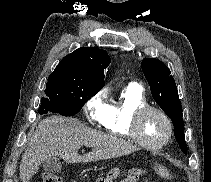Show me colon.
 <instances>
[{
	"mask_svg": "<svg viewBox=\"0 0 211 182\" xmlns=\"http://www.w3.org/2000/svg\"><path fill=\"white\" fill-rule=\"evenodd\" d=\"M155 172L162 178L168 179L170 178L169 171L161 165L154 166ZM119 175V171L117 169L110 170L106 175L98 177L94 182H113L117 176ZM142 175L140 169H132L129 171L127 176L123 179L122 182H134L139 176ZM42 182H62V179L59 175L51 172H44L42 176Z\"/></svg>",
	"mask_w": 211,
	"mask_h": 182,
	"instance_id": "1",
	"label": "colon"
}]
</instances>
